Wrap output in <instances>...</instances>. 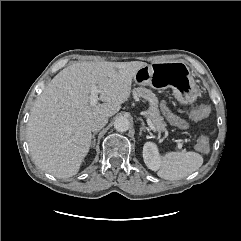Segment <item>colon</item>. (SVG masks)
<instances>
[{"instance_id":"obj_1","label":"colon","mask_w":241,"mask_h":241,"mask_svg":"<svg viewBox=\"0 0 241 241\" xmlns=\"http://www.w3.org/2000/svg\"><path fill=\"white\" fill-rule=\"evenodd\" d=\"M211 113V108L208 105H201L193 108L190 111V117L193 120H203L207 118ZM197 149L200 152H207L209 150V141L206 137H200L197 141Z\"/></svg>"}]
</instances>
